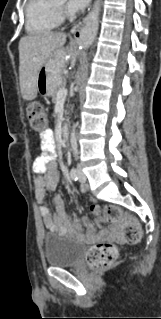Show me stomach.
Returning <instances> with one entry per match:
<instances>
[{
  "label": "stomach",
  "instance_id": "1",
  "mask_svg": "<svg viewBox=\"0 0 161 319\" xmlns=\"http://www.w3.org/2000/svg\"><path fill=\"white\" fill-rule=\"evenodd\" d=\"M60 56V51L55 52L39 70L37 91L44 96H51L62 82L61 69L63 64Z\"/></svg>",
  "mask_w": 161,
  "mask_h": 319
}]
</instances>
